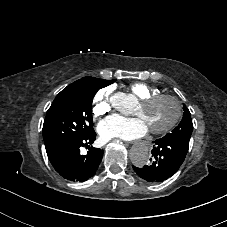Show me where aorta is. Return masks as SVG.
Here are the masks:
<instances>
[{"label":"aorta","mask_w":227,"mask_h":227,"mask_svg":"<svg viewBox=\"0 0 227 227\" xmlns=\"http://www.w3.org/2000/svg\"><path fill=\"white\" fill-rule=\"evenodd\" d=\"M149 150L145 145H137L130 152V159L136 167H143L149 162Z\"/></svg>","instance_id":"1"}]
</instances>
